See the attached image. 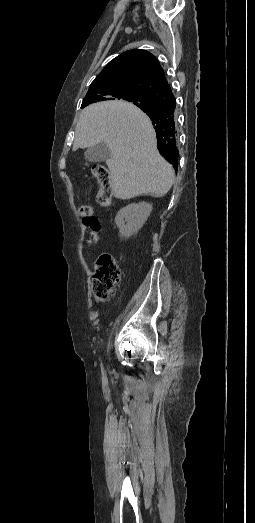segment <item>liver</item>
Listing matches in <instances>:
<instances>
[{
    "mask_svg": "<svg viewBox=\"0 0 255 523\" xmlns=\"http://www.w3.org/2000/svg\"><path fill=\"white\" fill-rule=\"evenodd\" d=\"M105 142L115 198L142 194L162 198L174 182L172 166L160 156L150 118L124 100L91 104L82 110L75 128L73 152Z\"/></svg>",
    "mask_w": 255,
    "mask_h": 523,
    "instance_id": "liver-1",
    "label": "liver"
}]
</instances>
